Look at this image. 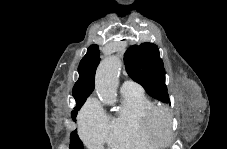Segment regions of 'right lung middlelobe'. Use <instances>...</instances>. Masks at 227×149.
Masks as SVG:
<instances>
[{"instance_id": "obj_1", "label": "right lung middle lobe", "mask_w": 227, "mask_h": 149, "mask_svg": "<svg viewBox=\"0 0 227 149\" xmlns=\"http://www.w3.org/2000/svg\"><path fill=\"white\" fill-rule=\"evenodd\" d=\"M81 106H79L77 109H75L71 113L72 119L74 121H75V117L77 115V111L81 108ZM70 149H83L82 142L80 141L76 131H73L70 135Z\"/></svg>"}]
</instances>
